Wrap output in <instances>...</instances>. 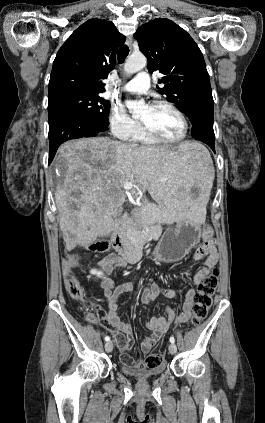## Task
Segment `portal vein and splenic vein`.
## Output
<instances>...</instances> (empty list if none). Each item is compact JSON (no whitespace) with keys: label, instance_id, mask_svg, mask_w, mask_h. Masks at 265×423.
<instances>
[{"label":"portal vein and splenic vein","instance_id":"portal-vein-and-splenic-vein-1","mask_svg":"<svg viewBox=\"0 0 265 423\" xmlns=\"http://www.w3.org/2000/svg\"><path fill=\"white\" fill-rule=\"evenodd\" d=\"M133 187H134V184H133L132 182H127V183H125V184L123 185V188H124L125 193H126L127 195H129V194H130V193H129V191H130Z\"/></svg>","mask_w":265,"mask_h":423}]
</instances>
